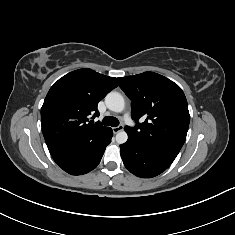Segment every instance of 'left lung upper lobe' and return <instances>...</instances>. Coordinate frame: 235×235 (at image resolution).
<instances>
[{"label":"left lung upper lobe","mask_w":235,"mask_h":235,"mask_svg":"<svg viewBox=\"0 0 235 235\" xmlns=\"http://www.w3.org/2000/svg\"><path fill=\"white\" fill-rule=\"evenodd\" d=\"M121 89L131 99V115L136 127H125L128 136L167 154L177 156L190 122L182 89L154 72L118 78Z\"/></svg>","instance_id":"5c2ea615"}]
</instances>
